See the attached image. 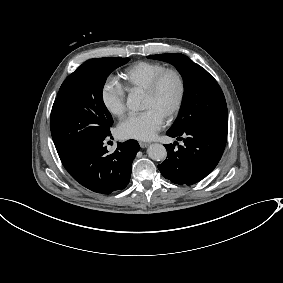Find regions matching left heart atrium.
Instances as JSON below:
<instances>
[{
  "instance_id": "left-heart-atrium-1",
  "label": "left heart atrium",
  "mask_w": 283,
  "mask_h": 283,
  "mask_svg": "<svg viewBox=\"0 0 283 283\" xmlns=\"http://www.w3.org/2000/svg\"><path fill=\"white\" fill-rule=\"evenodd\" d=\"M164 118L163 114L153 108L144 109L120 123L117 128V135L122 139H152L162 127Z\"/></svg>"
}]
</instances>
